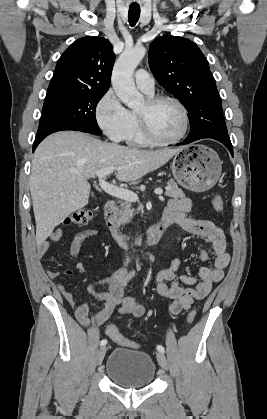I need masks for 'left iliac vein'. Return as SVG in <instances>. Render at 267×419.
<instances>
[{
  "label": "left iliac vein",
  "mask_w": 267,
  "mask_h": 419,
  "mask_svg": "<svg viewBox=\"0 0 267 419\" xmlns=\"http://www.w3.org/2000/svg\"><path fill=\"white\" fill-rule=\"evenodd\" d=\"M157 360L159 365L164 369L167 370L168 369V362L167 359L165 357V355L162 352H158L157 353Z\"/></svg>",
  "instance_id": "left-iliac-vein-1"
}]
</instances>
